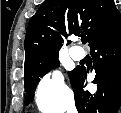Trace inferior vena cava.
Returning <instances> with one entry per match:
<instances>
[{
  "instance_id": "602c4592",
  "label": "inferior vena cava",
  "mask_w": 121,
  "mask_h": 113,
  "mask_svg": "<svg viewBox=\"0 0 121 113\" xmlns=\"http://www.w3.org/2000/svg\"><path fill=\"white\" fill-rule=\"evenodd\" d=\"M68 113H77L75 106H70L68 109Z\"/></svg>"
}]
</instances>
